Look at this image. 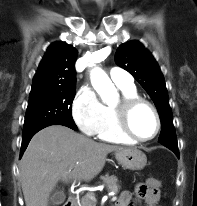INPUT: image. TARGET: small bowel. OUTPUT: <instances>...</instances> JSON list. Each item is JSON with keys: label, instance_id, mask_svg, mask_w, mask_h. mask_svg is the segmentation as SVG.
<instances>
[{"label": "small bowel", "instance_id": "1", "mask_svg": "<svg viewBox=\"0 0 197 206\" xmlns=\"http://www.w3.org/2000/svg\"><path fill=\"white\" fill-rule=\"evenodd\" d=\"M158 189L159 187H157L156 189H152L149 187H146L144 190L140 189V192H142L141 196L146 201L148 206H158V202H159ZM132 197H133L132 192L130 191L123 192L116 206H130V201Z\"/></svg>", "mask_w": 197, "mask_h": 206}]
</instances>
